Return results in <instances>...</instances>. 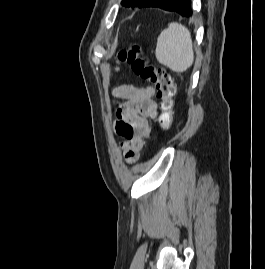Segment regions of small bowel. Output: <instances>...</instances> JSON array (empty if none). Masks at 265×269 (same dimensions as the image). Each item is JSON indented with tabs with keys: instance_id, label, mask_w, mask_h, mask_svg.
<instances>
[{
	"instance_id": "1",
	"label": "small bowel",
	"mask_w": 265,
	"mask_h": 269,
	"mask_svg": "<svg viewBox=\"0 0 265 269\" xmlns=\"http://www.w3.org/2000/svg\"><path fill=\"white\" fill-rule=\"evenodd\" d=\"M154 90L151 87L137 88L132 85H122L112 90V95L125 99L116 112L117 124L125 121L135 128L132 139L122 141L121 148L129 163L135 162L139 157L140 150L144 147L151 132L152 119L156 113V102L153 100Z\"/></svg>"
}]
</instances>
